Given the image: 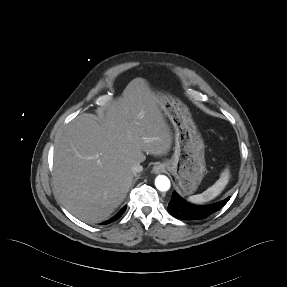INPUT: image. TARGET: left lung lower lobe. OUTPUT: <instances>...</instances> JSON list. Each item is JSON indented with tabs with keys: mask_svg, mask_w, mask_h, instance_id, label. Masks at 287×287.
<instances>
[{
	"mask_svg": "<svg viewBox=\"0 0 287 287\" xmlns=\"http://www.w3.org/2000/svg\"><path fill=\"white\" fill-rule=\"evenodd\" d=\"M228 200L229 198H226L225 200L212 205L198 206L187 203L174 191L169 202L168 211L177 219L200 220L217 212L228 202Z\"/></svg>",
	"mask_w": 287,
	"mask_h": 287,
	"instance_id": "obj_1",
	"label": "left lung lower lobe"
}]
</instances>
